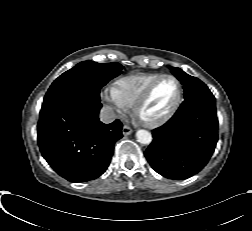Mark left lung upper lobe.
Masks as SVG:
<instances>
[{"instance_id": "5c2ea615", "label": "left lung upper lobe", "mask_w": 252, "mask_h": 231, "mask_svg": "<svg viewBox=\"0 0 252 231\" xmlns=\"http://www.w3.org/2000/svg\"><path fill=\"white\" fill-rule=\"evenodd\" d=\"M176 77L184 85V98H189L196 95L212 94L208 87L198 78L190 76L180 68H174Z\"/></svg>"}]
</instances>
